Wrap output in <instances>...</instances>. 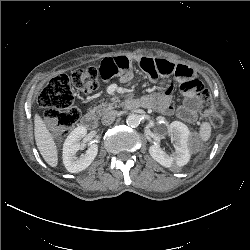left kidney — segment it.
<instances>
[{"label":"left kidney","mask_w":250,"mask_h":250,"mask_svg":"<svg viewBox=\"0 0 250 250\" xmlns=\"http://www.w3.org/2000/svg\"><path fill=\"white\" fill-rule=\"evenodd\" d=\"M170 133L174 140V153L167 154L158 145H151L149 153L154 160L166 168L184 166L190 160L191 133L188 127L180 121H173L170 124Z\"/></svg>","instance_id":"obj_1"}]
</instances>
